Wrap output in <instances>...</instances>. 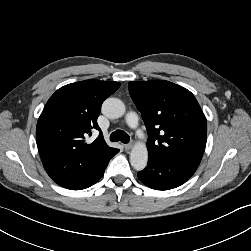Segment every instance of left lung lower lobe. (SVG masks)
<instances>
[{
	"instance_id": "1",
	"label": "left lung lower lobe",
	"mask_w": 251,
	"mask_h": 251,
	"mask_svg": "<svg viewBox=\"0 0 251 251\" xmlns=\"http://www.w3.org/2000/svg\"><path fill=\"white\" fill-rule=\"evenodd\" d=\"M197 168L179 160L148 157V166L138 173V177L152 189L168 190L185 183Z\"/></svg>"
}]
</instances>
